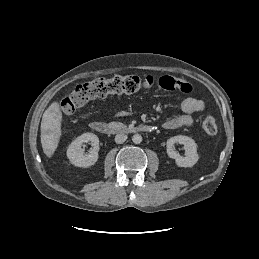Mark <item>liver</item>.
<instances>
[{
  "mask_svg": "<svg viewBox=\"0 0 259 259\" xmlns=\"http://www.w3.org/2000/svg\"><path fill=\"white\" fill-rule=\"evenodd\" d=\"M62 112L58 102L45 110L41 121V144L44 154L52 157L61 137Z\"/></svg>",
  "mask_w": 259,
  "mask_h": 259,
  "instance_id": "obj_1",
  "label": "liver"
}]
</instances>
